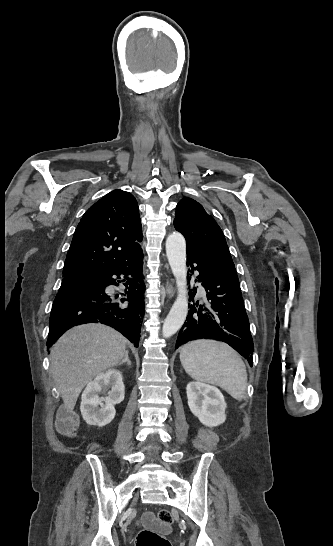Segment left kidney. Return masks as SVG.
Listing matches in <instances>:
<instances>
[{"instance_id": "1", "label": "left kidney", "mask_w": 333, "mask_h": 546, "mask_svg": "<svg viewBox=\"0 0 333 546\" xmlns=\"http://www.w3.org/2000/svg\"><path fill=\"white\" fill-rule=\"evenodd\" d=\"M188 405L199 421L209 427L225 422L226 403L220 390L200 382H190L186 387Z\"/></svg>"}]
</instances>
